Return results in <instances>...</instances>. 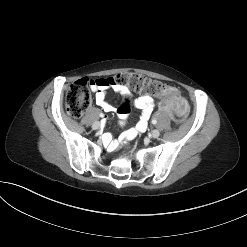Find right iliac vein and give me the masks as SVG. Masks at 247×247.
Listing matches in <instances>:
<instances>
[{
	"label": "right iliac vein",
	"mask_w": 247,
	"mask_h": 247,
	"mask_svg": "<svg viewBox=\"0 0 247 247\" xmlns=\"http://www.w3.org/2000/svg\"><path fill=\"white\" fill-rule=\"evenodd\" d=\"M93 129L97 130L100 128V123L99 122H94L92 125Z\"/></svg>",
	"instance_id": "1"
}]
</instances>
